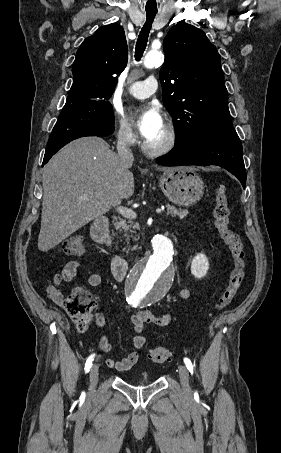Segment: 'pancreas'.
Segmentation results:
<instances>
[{"mask_svg": "<svg viewBox=\"0 0 281 453\" xmlns=\"http://www.w3.org/2000/svg\"><path fill=\"white\" fill-rule=\"evenodd\" d=\"M167 214L184 218V216L188 214V210H182V208H175V206L167 204ZM114 224L115 229H118V231H122V233H124L123 237H132L134 241H137V237H133V233H136V229H138V227L133 218H119V220H116Z\"/></svg>", "mask_w": 281, "mask_h": 453, "instance_id": "obj_1", "label": "pancreas"}]
</instances>
